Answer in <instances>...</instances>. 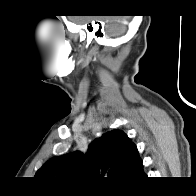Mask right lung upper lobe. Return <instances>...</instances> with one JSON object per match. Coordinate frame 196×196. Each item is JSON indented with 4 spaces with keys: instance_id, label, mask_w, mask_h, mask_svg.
Listing matches in <instances>:
<instances>
[{
    "instance_id": "obj_1",
    "label": "right lung upper lobe",
    "mask_w": 196,
    "mask_h": 196,
    "mask_svg": "<svg viewBox=\"0 0 196 196\" xmlns=\"http://www.w3.org/2000/svg\"><path fill=\"white\" fill-rule=\"evenodd\" d=\"M84 171L95 179L135 182L144 176L137 147L127 134L112 130L95 140L83 155L75 151L47 161L35 177L48 185H64L84 178Z\"/></svg>"
}]
</instances>
